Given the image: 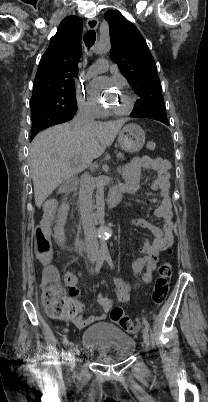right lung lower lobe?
Returning <instances> with one entry per match:
<instances>
[{"label":"right lung lower lobe","instance_id":"right-lung-lower-lobe-1","mask_svg":"<svg viewBox=\"0 0 208 402\" xmlns=\"http://www.w3.org/2000/svg\"><path fill=\"white\" fill-rule=\"evenodd\" d=\"M74 117L73 115H65V116H53V115H49V116H39L37 118L32 119V132H31V139L30 141H32V139L36 136V134L38 132H40L41 130H44L50 126L56 125V124H61L64 123L66 121L71 120Z\"/></svg>","mask_w":208,"mask_h":402}]
</instances>
